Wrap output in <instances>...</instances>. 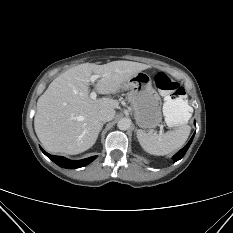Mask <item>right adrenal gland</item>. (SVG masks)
<instances>
[{
    "mask_svg": "<svg viewBox=\"0 0 233 233\" xmlns=\"http://www.w3.org/2000/svg\"><path fill=\"white\" fill-rule=\"evenodd\" d=\"M104 124H105V122L102 123L101 130H102Z\"/></svg>",
    "mask_w": 233,
    "mask_h": 233,
    "instance_id": "obj_1",
    "label": "right adrenal gland"
}]
</instances>
